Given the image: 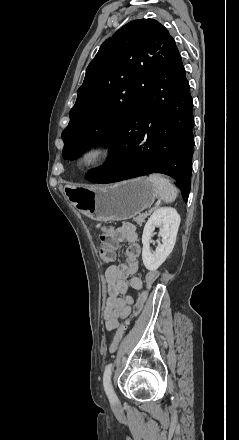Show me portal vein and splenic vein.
<instances>
[{
  "label": "portal vein and splenic vein",
  "instance_id": "18ae733b",
  "mask_svg": "<svg viewBox=\"0 0 239 440\" xmlns=\"http://www.w3.org/2000/svg\"><path fill=\"white\" fill-rule=\"evenodd\" d=\"M161 202H162V199H158V200L155 202V206H153V209H156V207H160Z\"/></svg>",
  "mask_w": 239,
  "mask_h": 440
}]
</instances>
